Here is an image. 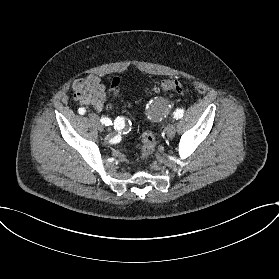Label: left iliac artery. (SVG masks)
I'll return each instance as SVG.
<instances>
[{
    "mask_svg": "<svg viewBox=\"0 0 279 279\" xmlns=\"http://www.w3.org/2000/svg\"><path fill=\"white\" fill-rule=\"evenodd\" d=\"M174 118L177 120V119H180L183 117V110L181 109H177L174 113Z\"/></svg>",
    "mask_w": 279,
    "mask_h": 279,
    "instance_id": "1",
    "label": "left iliac artery"
}]
</instances>
